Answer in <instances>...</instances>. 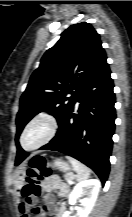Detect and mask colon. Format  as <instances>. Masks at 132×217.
Instances as JSON below:
<instances>
[{
    "label": "colon",
    "mask_w": 132,
    "mask_h": 217,
    "mask_svg": "<svg viewBox=\"0 0 132 217\" xmlns=\"http://www.w3.org/2000/svg\"><path fill=\"white\" fill-rule=\"evenodd\" d=\"M49 174L50 170L45 158L42 156L32 157L21 188V195L27 200L39 196L41 192L40 182ZM30 212L36 214L38 213V208H33Z\"/></svg>",
    "instance_id": "obj_1"
}]
</instances>
